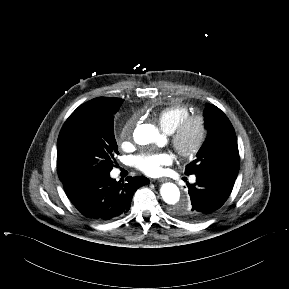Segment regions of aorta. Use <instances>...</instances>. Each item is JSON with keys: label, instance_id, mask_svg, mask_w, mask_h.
Returning <instances> with one entry per match:
<instances>
[{"label": "aorta", "instance_id": "1", "mask_svg": "<svg viewBox=\"0 0 289 289\" xmlns=\"http://www.w3.org/2000/svg\"><path fill=\"white\" fill-rule=\"evenodd\" d=\"M159 139L158 130L151 124H143L136 128L134 132V140L139 145H147L156 142ZM160 194L165 203L173 206L175 213H180L182 210H187L189 203L180 202V190L173 183H164L161 186Z\"/></svg>", "mask_w": 289, "mask_h": 289}]
</instances>
